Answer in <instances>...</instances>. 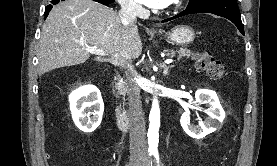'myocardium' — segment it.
Wrapping results in <instances>:
<instances>
[{"mask_svg":"<svg viewBox=\"0 0 277 166\" xmlns=\"http://www.w3.org/2000/svg\"><path fill=\"white\" fill-rule=\"evenodd\" d=\"M183 0H174L170 7L166 10L167 13L178 10L182 6Z\"/></svg>","mask_w":277,"mask_h":166,"instance_id":"obj_1","label":"myocardium"}]
</instances>
